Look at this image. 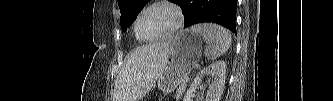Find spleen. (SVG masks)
<instances>
[{
  "label": "spleen",
  "mask_w": 333,
  "mask_h": 101,
  "mask_svg": "<svg viewBox=\"0 0 333 101\" xmlns=\"http://www.w3.org/2000/svg\"><path fill=\"white\" fill-rule=\"evenodd\" d=\"M191 30L201 35L206 42L205 56L215 60L223 55L231 46V35L224 28L216 24H197Z\"/></svg>",
  "instance_id": "3e777b00"
}]
</instances>
